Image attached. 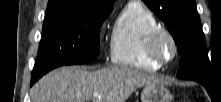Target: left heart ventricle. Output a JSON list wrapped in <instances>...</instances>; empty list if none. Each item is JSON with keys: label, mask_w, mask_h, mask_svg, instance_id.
I'll return each instance as SVG.
<instances>
[{"label": "left heart ventricle", "mask_w": 221, "mask_h": 102, "mask_svg": "<svg viewBox=\"0 0 221 102\" xmlns=\"http://www.w3.org/2000/svg\"><path fill=\"white\" fill-rule=\"evenodd\" d=\"M161 54L165 57V58H168L170 57V55L172 54V47L171 45L169 44V42L167 41H164L161 45Z\"/></svg>", "instance_id": "1"}]
</instances>
